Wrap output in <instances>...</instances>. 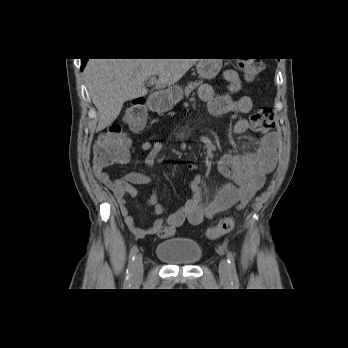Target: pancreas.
<instances>
[{
  "label": "pancreas",
  "mask_w": 348,
  "mask_h": 348,
  "mask_svg": "<svg viewBox=\"0 0 348 348\" xmlns=\"http://www.w3.org/2000/svg\"><path fill=\"white\" fill-rule=\"evenodd\" d=\"M200 85V81H194V82H190L188 83V85L185 87V95L189 96V94L198 86Z\"/></svg>",
  "instance_id": "obj_1"
}]
</instances>
